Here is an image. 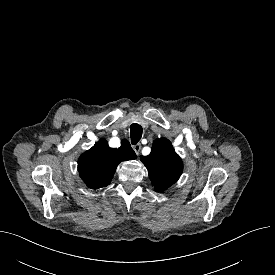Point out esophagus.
Returning a JSON list of instances; mask_svg holds the SVG:
<instances>
[{
  "label": "esophagus",
  "instance_id": "1",
  "mask_svg": "<svg viewBox=\"0 0 275 275\" xmlns=\"http://www.w3.org/2000/svg\"><path fill=\"white\" fill-rule=\"evenodd\" d=\"M133 149L137 155H139V152L141 150V144H136L133 146Z\"/></svg>",
  "mask_w": 275,
  "mask_h": 275
}]
</instances>
